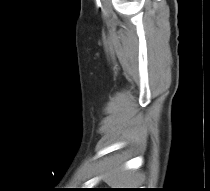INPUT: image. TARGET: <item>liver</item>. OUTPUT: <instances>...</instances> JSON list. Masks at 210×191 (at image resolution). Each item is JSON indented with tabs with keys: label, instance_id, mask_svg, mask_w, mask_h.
I'll list each match as a JSON object with an SVG mask.
<instances>
[{
	"label": "liver",
	"instance_id": "1",
	"mask_svg": "<svg viewBox=\"0 0 210 191\" xmlns=\"http://www.w3.org/2000/svg\"><path fill=\"white\" fill-rule=\"evenodd\" d=\"M122 161L116 159L105 168V181L110 186H128L134 183L135 176L132 172L121 169Z\"/></svg>",
	"mask_w": 210,
	"mask_h": 191
}]
</instances>
